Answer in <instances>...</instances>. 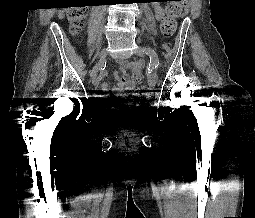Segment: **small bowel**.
Returning <instances> with one entry per match:
<instances>
[{"instance_id":"small-bowel-1","label":"small bowel","mask_w":255,"mask_h":218,"mask_svg":"<svg viewBox=\"0 0 255 218\" xmlns=\"http://www.w3.org/2000/svg\"><path fill=\"white\" fill-rule=\"evenodd\" d=\"M155 17L157 20H161L164 17V10L160 5L154 7ZM142 62H127L124 60L119 61V71L114 73L116 83L113 86L114 91L123 92L131 91L136 85L143 79L142 74ZM127 70L132 71V75L127 74ZM102 88L106 90L108 84L106 82L102 83ZM101 102L108 103L109 99L105 95H101Z\"/></svg>"}]
</instances>
